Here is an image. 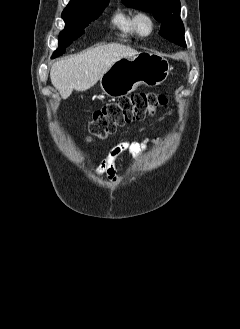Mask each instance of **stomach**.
<instances>
[{"label":"stomach","instance_id":"1","mask_svg":"<svg viewBox=\"0 0 240 329\" xmlns=\"http://www.w3.org/2000/svg\"><path fill=\"white\" fill-rule=\"evenodd\" d=\"M170 71L168 60L161 54L143 51L116 61L100 78V86L107 96L120 98L134 92L141 84L160 85Z\"/></svg>","mask_w":240,"mask_h":329}]
</instances>
